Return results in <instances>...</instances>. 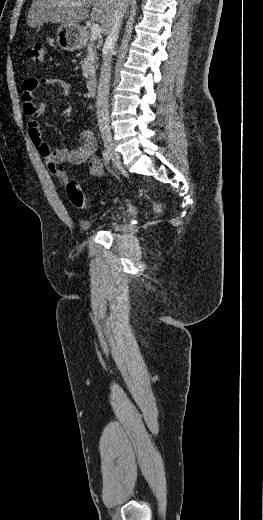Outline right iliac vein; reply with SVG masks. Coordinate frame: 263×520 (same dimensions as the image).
I'll list each match as a JSON object with an SVG mask.
<instances>
[{
    "label": "right iliac vein",
    "mask_w": 263,
    "mask_h": 520,
    "mask_svg": "<svg viewBox=\"0 0 263 520\" xmlns=\"http://www.w3.org/2000/svg\"><path fill=\"white\" fill-rule=\"evenodd\" d=\"M102 140L104 143V146L106 148L107 153L109 154L110 158L113 161V164L116 168H121L122 163L119 154L116 152L114 148V144L112 141L111 134L109 131H102Z\"/></svg>",
    "instance_id": "1"
}]
</instances>
